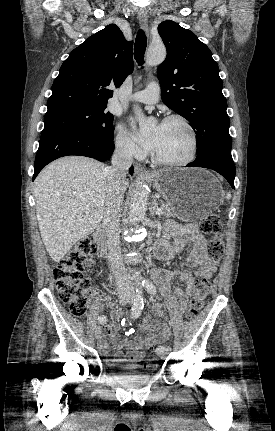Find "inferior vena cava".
<instances>
[{"label": "inferior vena cava", "mask_w": 275, "mask_h": 431, "mask_svg": "<svg viewBox=\"0 0 275 431\" xmlns=\"http://www.w3.org/2000/svg\"><path fill=\"white\" fill-rule=\"evenodd\" d=\"M132 149L129 145L118 146L112 156V165L105 169L107 175V195L103 214L109 249V263L114 273L118 290L129 291L130 282L122 261L119 238V208L124 199L126 171L132 164Z\"/></svg>", "instance_id": "obj_1"}]
</instances>
